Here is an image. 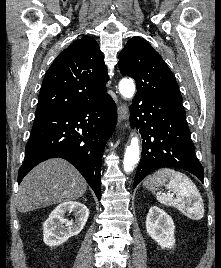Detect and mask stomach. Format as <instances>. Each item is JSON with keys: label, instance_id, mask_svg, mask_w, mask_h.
I'll return each instance as SVG.
<instances>
[{"label": "stomach", "instance_id": "1", "mask_svg": "<svg viewBox=\"0 0 221 268\" xmlns=\"http://www.w3.org/2000/svg\"><path fill=\"white\" fill-rule=\"evenodd\" d=\"M168 178L169 177L166 175H153L144 181V186L148 189H154L155 187L165 184L168 181Z\"/></svg>", "mask_w": 221, "mask_h": 268}]
</instances>
